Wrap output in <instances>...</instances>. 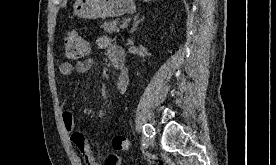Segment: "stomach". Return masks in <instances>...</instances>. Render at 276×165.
Returning <instances> with one entry per match:
<instances>
[{"instance_id": "0dacf381", "label": "stomach", "mask_w": 276, "mask_h": 165, "mask_svg": "<svg viewBox=\"0 0 276 165\" xmlns=\"http://www.w3.org/2000/svg\"><path fill=\"white\" fill-rule=\"evenodd\" d=\"M134 8V0H76L74 15L84 19L119 17Z\"/></svg>"}]
</instances>
